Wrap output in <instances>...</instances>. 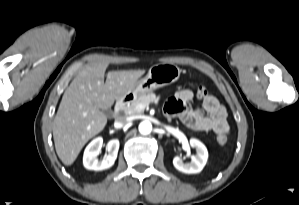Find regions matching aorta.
Wrapping results in <instances>:
<instances>
[{
  "instance_id": "aorta-1",
  "label": "aorta",
  "mask_w": 299,
  "mask_h": 205,
  "mask_svg": "<svg viewBox=\"0 0 299 205\" xmlns=\"http://www.w3.org/2000/svg\"><path fill=\"white\" fill-rule=\"evenodd\" d=\"M152 131V124L149 121H143L139 124V132L141 134H149Z\"/></svg>"
}]
</instances>
